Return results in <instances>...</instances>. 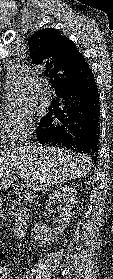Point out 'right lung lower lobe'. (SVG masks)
I'll use <instances>...</instances> for the list:
<instances>
[{
	"label": "right lung lower lobe",
	"mask_w": 113,
	"mask_h": 279,
	"mask_svg": "<svg viewBox=\"0 0 113 279\" xmlns=\"http://www.w3.org/2000/svg\"><path fill=\"white\" fill-rule=\"evenodd\" d=\"M61 109L44 116L36 129L41 144L66 147L97 160L100 105L91 69L75 84L57 94Z\"/></svg>",
	"instance_id": "98d812e1"
}]
</instances>
